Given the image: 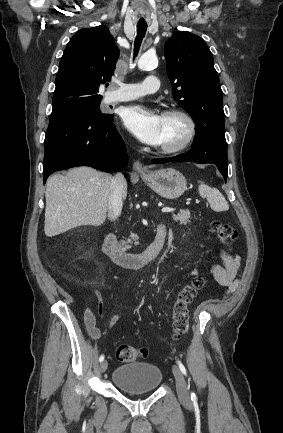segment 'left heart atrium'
<instances>
[{"label":"left heart atrium","instance_id":"39dd6f15","mask_svg":"<svg viewBox=\"0 0 283 433\" xmlns=\"http://www.w3.org/2000/svg\"><path fill=\"white\" fill-rule=\"evenodd\" d=\"M122 120L125 127L150 149L159 150L164 142L163 115L146 105L127 107Z\"/></svg>","mask_w":283,"mask_h":433}]
</instances>
